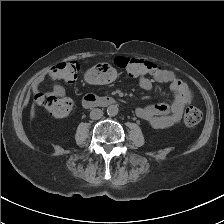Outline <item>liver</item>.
<instances>
[{"instance_id": "1", "label": "liver", "mask_w": 224, "mask_h": 224, "mask_svg": "<svg viewBox=\"0 0 224 224\" xmlns=\"http://www.w3.org/2000/svg\"><path fill=\"white\" fill-rule=\"evenodd\" d=\"M30 114H31V118H34V114H35V112H34V105H32Z\"/></svg>"}]
</instances>
